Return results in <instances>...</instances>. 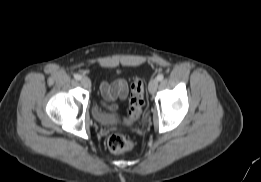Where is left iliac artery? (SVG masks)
<instances>
[{
  "label": "left iliac artery",
  "mask_w": 261,
  "mask_h": 182,
  "mask_svg": "<svg viewBox=\"0 0 261 182\" xmlns=\"http://www.w3.org/2000/svg\"><path fill=\"white\" fill-rule=\"evenodd\" d=\"M164 79V75L163 74H159L158 76H157V80L158 81H162Z\"/></svg>",
  "instance_id": "left-iliac-artery-1"
}]
</instances>
